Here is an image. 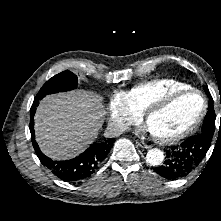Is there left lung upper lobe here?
Wrapping results in <instances>:
<instances>
[{
	"label": "left lung upper lobe",
	"mask_w": 221,
	"mask_h": 221,
	"mask_svg": "<svg viewBox=\"0 0 221 221\" xmlns=\"http://www.w3.org/2000/svg\"><path fill=\"white\" fill-rule=\"evenodd\" d=\"M205 92L209 97V106H208V112L205 116L203 126H202V133L198 135V138L203 139L209 143V146L211 145L212 137L215 131V111L213 107V99L211 97L210 92L206 87Z\"/></svg>",
	"instance_id": "obj_1"
}]
</instances>
